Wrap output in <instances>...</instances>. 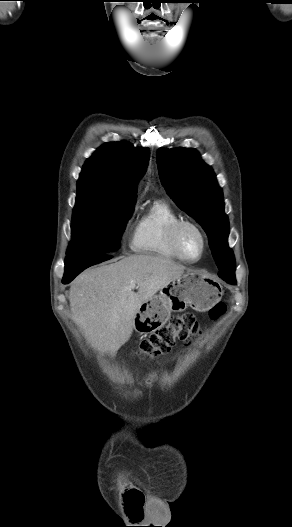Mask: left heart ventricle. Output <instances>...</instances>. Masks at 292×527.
Wrapping results in <instances>:
<instances>
[{"label":"left heart ventricle","mask_w":292,"mask_h":527,"mask_svg":"<svg viewBox=\"0 0 292 527\" xmlns=\"http://www.w3.org/2000/svg\"><path fill=\"white\" fill-rule=\"evenodd\" d=\"M180 245L185 256L195 259L201 253V236L194 228L187 226L180 233Z\"/></svg>","instance_id":"left-heart-ventricle-1"}]
</instances>
